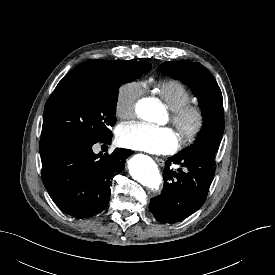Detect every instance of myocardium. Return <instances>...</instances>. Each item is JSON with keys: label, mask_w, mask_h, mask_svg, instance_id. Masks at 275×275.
I'll list each match as a JSON object with an SVG mask.
<instances>
[{"label": "myocardium", "mask_w": 275, "mask_h": 275, "mask_svg": "<svg viewBox=\"0 0 275 275\" xmlns=\"http://www.w3.org/2000/svg\"><path fill=\"white\" fill-rule=\"evenodd\" d=\"M170 122L178 134L181 145H186L200 134L205 117L200 106L189 103L171 111Z\"/></svg>", "instance_id": "myocardium-1"}]
</instances>
